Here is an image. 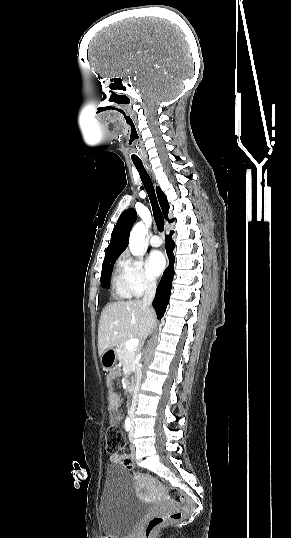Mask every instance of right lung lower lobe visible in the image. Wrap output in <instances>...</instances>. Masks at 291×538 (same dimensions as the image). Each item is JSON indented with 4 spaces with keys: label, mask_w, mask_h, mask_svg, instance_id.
Returning a JSON list of instances; mask_svg holds the SVG:
<instances>
[{
    "label": "right lung lower lobe",
    "mask_w": 291,
    "mask_h": 538,
    "mask_svg": "<svg viewBox=\"0 0 291 538\" xmlns=\"http://www.w3.org/2000/svg\"><path fill=\"white\" fill-rule=\"evenodd\" d=\"M173 235V231L170 233L169 236H166V251L169 257V267L165 270L161 281L157 287L156 295L153 300V307L157 312V315L159 318H161L166 310L167 304L169 303V297L171 294V287H172V280L174 276V255L173 250L175 247V243L171 239V236Z\"/></svg>",
    "instance_id": "1"
}]
</instances>
